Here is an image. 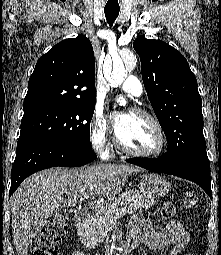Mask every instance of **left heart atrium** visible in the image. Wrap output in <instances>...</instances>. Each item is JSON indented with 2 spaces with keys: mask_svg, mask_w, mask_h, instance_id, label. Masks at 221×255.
I'll use <instances>...</instances> for the list:
<instances>
[{
  "mask_svg": "<svg viewBox=\"0 0 221 255\" xmlns=\"http://www.w3.org/2000/svg\"><path fill=\"white\" fill-rule=\"evenodd\" d=\"M113 120L115 129L118 131L125 121V114L114 116Z\"/></svg>",
  "mask_w": 221,
  "mask_h": 255,
  "instance_id": "39dd6f15",
  "label": "left heart atrium"
}]
</instances>
